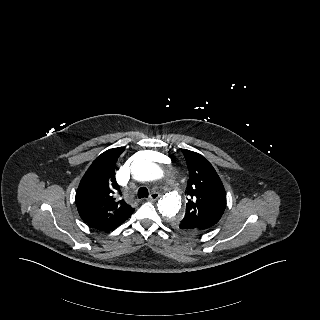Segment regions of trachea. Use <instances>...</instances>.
I'll return each instance as SVG.
<instances>
[{"mask_svg":"<svg viewBox=\"0 0 320 320\" xmlns=\"http://www.w3.org/2000/svg\"><path fill=\"white\" fill-rule=\"evenodd\" d=\"M138 198H147L149 195L148 189L146 187H141L138 190Z\"/></svg>","mask_w":320,"mask_h":320,"instance_id":"1","label":"trachea"}]
</instances>
